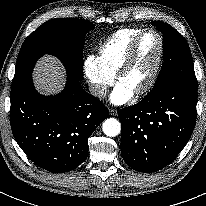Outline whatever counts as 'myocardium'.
I'll return each mask as SVG.
<instances>
[{"mask_svg":"<svg viewBox=\"0 0 206 206\" xmlns=\"http://www.w3.org/2000/svg\"><path fill=\"white\" fill-rule=\"evenodd\" d=\"M148 33H153L157 36L158 41H159V52H158L157 60L155 62V65L153 67V70L151 72V75L148 81L141 88H139L137 91L133 93L137 97H140L148 93L153 88V86L155 85L158 79V76H159V73H160V70L163 64L164 54H165V44H164V39L161 33L153 28L144 29L141 33H139L134 38L133 42L131 43L127 53L125 54L116 72V81L119 83L123 75L126 73V71L131 66L135 58V55L137 53L141 40Z\"/></svg>","mask_w":206,"mask_h":206,"instance_id":"myocardium-1","label":"myocardium"}]
</instances>
